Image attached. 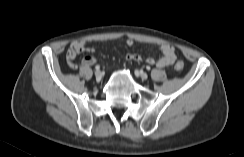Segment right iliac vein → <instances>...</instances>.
<instances>
[{
    "label": "right iliac vein",
    "instance_id": "1",
    "mask_svg": "<svg viewBox=\"0 0 244 157\" xmlns=\"http://www.w3.org/2000/svg\"><path fill=\"white\" fill-rule=\"evenodd\" d=\"M95 77H96V79L99 81V80H101V78H102V73L100 72V71H96L95 72Z\"/></svg>",
    "mask_w": 244,
    "mask_h": 157
}]
</instances>
